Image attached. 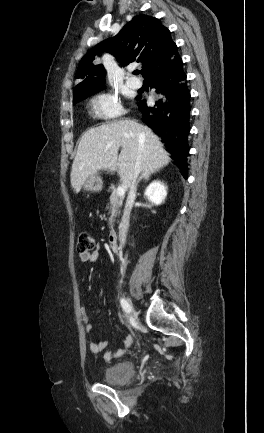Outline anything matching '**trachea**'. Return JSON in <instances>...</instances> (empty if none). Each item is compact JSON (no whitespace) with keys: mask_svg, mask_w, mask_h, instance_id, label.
I'll return each mask as SVG.
<instances>
[{"mask_svg":"<svg viewBox=\"0 0 264 433\" xmlns=\"http://www.w3.org/2000/svg\"><path fill=\"white\" fill-rule=\"evenodd\" d=\"M134 74H135V75H138V74H139V71H138V70H135V71H134Z\"/></svg>","mask_w":264,"mask_h":433,"instance_id":"obj_1","label":"trachea"}]
</instances>
